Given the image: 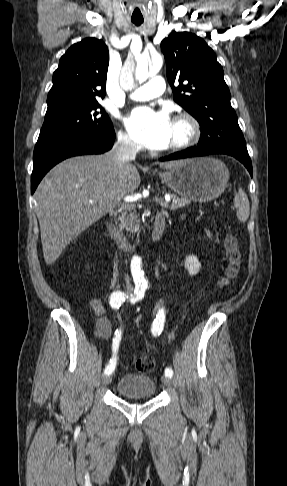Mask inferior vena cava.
Segmentation results:
<instances>
[{
	"label": "inferior vena cava",
	"instance_id": "602c4592",
	"mask_svg": "<svg viewBox=\"0 0 287 486\" xmlns=\"http://www.w3.org/2000/svg\"><path fill=\"white\" fill-rule=\"evenodd\" d=\"M139 146L127 136L119 135L117 142L109 152L113 162L118 166H123L132 160H135ZM127 287L130 288L128 278H125Z\"/></svg>",
	"mask_w": 287,
	"mask_h": 486
}]
</instances>
